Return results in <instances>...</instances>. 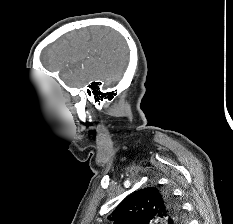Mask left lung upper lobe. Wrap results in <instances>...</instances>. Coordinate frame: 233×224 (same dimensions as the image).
<instances>
[{"label":"left lung upper lobe","instance_id":"5c2ea615","mask_svg":"<svg viewBox=\"0 0 233 224\" xmlns=\"http://www.w3.org/2000/svg\"><path fill=\"white\" fill-rule=\"evenodd\" d=\"M155 216L164 218L167 224L183 221L180 206L170 193L154 187L132 193L113 211L114 224H148Z\"/></svg>","mask_w":233,"mask_h":224}]
</instances>
